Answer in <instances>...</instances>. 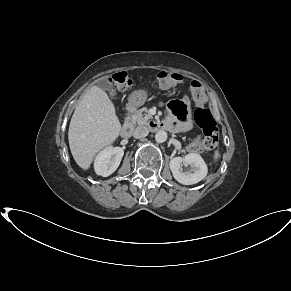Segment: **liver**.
<instances>
[{
    "label": "liver",
    "mask_w": 291,
    "mask_h": 291,
    "mask_svg": "<svg viewBox=\"0 0 291 291\" xmlns=\"http://www.w3.org/2000/svg\"><path fill=\"white\" fill-rule=\"evenodd\" d=\"M121 123L105 91L91 87L76 107L69 125L68 139L75 162L88 170L95 155L120 135Z\"/></svg>",
    "instance_id": "1"
}]
</instances>
